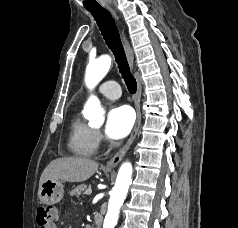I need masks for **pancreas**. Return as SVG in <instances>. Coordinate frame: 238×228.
<instances>
[{"label": "pancreas", "mask_w": 238, "mask_h": 228, "mask_svg": "<svg viewBox=\"0 0 238 228\" xmlns=\"http://www.w3.org/2000/svg\"><path fill=\"white\" fill-rule=\"evenodd\" d=\"M88 188L87 185L85 184H81V185H78L75 189H73L71 192H70V196H75V195H81V193H83L84 191H86Z\"/></svg>", "instance_id": "obj_1"}]
</instances>
